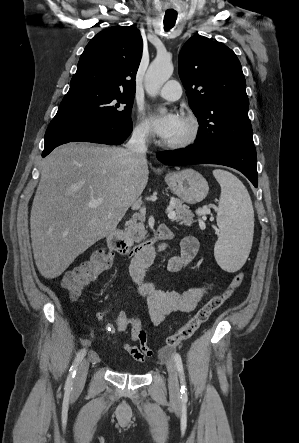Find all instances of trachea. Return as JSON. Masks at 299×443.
I'll return each instance as SVG.
<instances>
[{
  "label": "trachea",
  "instance_id": "obj_1",
  "mask_svg": "<svg viewBox=\"0 0 299 443\" xmlns=\"http://www.w3.org/2000/svg\"><path fill=\"white\" fill-rule=\"evenodd\" d=\"M177 15L172 12H166L164 16V29L166 31L170 30L176 22Z\"/></svg>",
  "mask_w": 299,
  "mask_h": 443
}]
</instances>
